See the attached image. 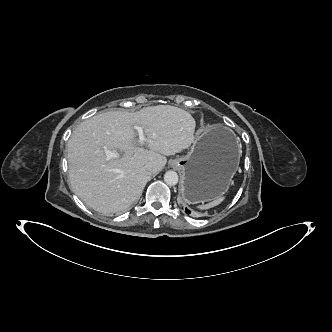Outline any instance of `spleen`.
Wrapping results in <instances>:
<instances>
[{
    "label": "spleen",
    "instance_id": "spleen-1",
    "mask_svg": "<svg viewBox=\"0 0 332 332\" xmlns=\"http://www.w3.org/2000/svg\"><path fill=\"white\" fill-rule=\"evenodd\" d=\"M224 199H225V197L222 196V197L217 198V199H215L214 201H212V202H210L208 204L200 205V206H198V208H200L201 210H203V209H210L212 207H215V206L219 205Z\"/></svg>",
    "mask_w": 332,
    "mask_h": 332
}]
</instances>
